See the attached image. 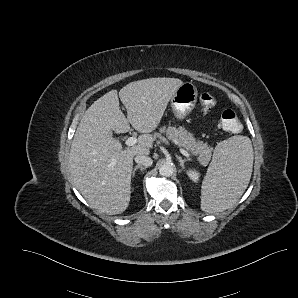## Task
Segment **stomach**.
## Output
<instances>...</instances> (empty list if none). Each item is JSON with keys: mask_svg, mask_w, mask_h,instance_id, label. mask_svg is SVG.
Listing matches in <instances>:
<instances>
[{"mask_svg": "<svg viewBox=\"0 0 298 298\" xmlns=\"http://www.w3.org/2000/svg\"><path fill=\"white\" fill-rule=\"evenodd\" d=\"M198 89L193 82L185 81L180 85L170 99V107L176 118L181 119L188 115L196 106Z\"/></svg>", "mask_w": 298, "mask_h": 298, "instance_id": "1", "label": "stomach"}]
</instances>
